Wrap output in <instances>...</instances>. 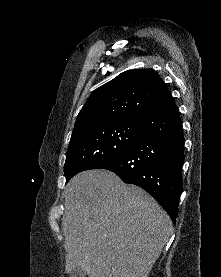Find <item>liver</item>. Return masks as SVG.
Segmentation results:
<instances>
[{
	"mask_svg": "<svg viewBox=\"0 0 221 277\" xmlns=\"http://www.w3.org/2000/svg\"><path fill=\"white\" fill-rule=\"evenodd\" d=\"M65 272L89 277H148L173 226L143 189L113 172L89 170L65 188Z\"/></svg>",
	"mask_w": 221,
	"mask_h": 277,
	"instance_id": "1",
	"label": "liver"
}]
</instances>
